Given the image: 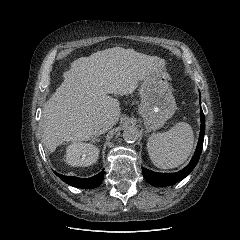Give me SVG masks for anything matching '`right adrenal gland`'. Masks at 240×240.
Listing matches in <instances>:
<instances>
[{
  "mask_svg": "<svg viewBox=\"0 0 240 240\" xmlns=\"http://www.w3.org/2000/svg\"><path fill=\"white\" fill-rule=\"evenodd\" d=\"M91 141H92V142H99L100 139H98V138H96V137H92Z\"/></svg>",
  "mask_w": 240,
  "mask_h": 240,
  "instance_id": "1",
  "label": "right adrenal gland"
}]
</instances>
